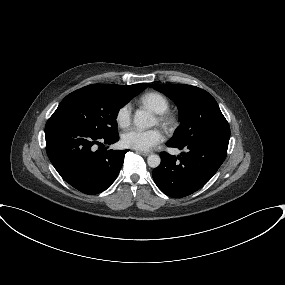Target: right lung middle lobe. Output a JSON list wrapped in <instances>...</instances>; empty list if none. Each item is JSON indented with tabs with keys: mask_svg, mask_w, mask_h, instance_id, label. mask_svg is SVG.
Masks as SVG:
<instances>
[{
	"mask_svg": "<svg viewBox=\"0 0 285 285\" xmlns=\"http://www.w3.org/2000/svg\"><path fill=\"white\" fill-rule=\"evenodd\" d=\"M146 87L141 86L128 94L88 85L67 95L52 117L74 122L96 136L115 135L118 134L119 109Z\"/></svg>",
	"mask_w": 285,
	"mask_h": 285,
	"instance_id": "obj_1",
	"label": "right lung middle lobe"
}]
</instances>
